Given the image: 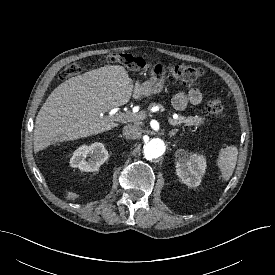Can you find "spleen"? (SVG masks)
Here are the masks:
<instances>
[{"instance_id":"1","label":"spleen","mask_w":275,"mask_h":275,"mask_svg":"<svg viewBox=\"0 0 275 275\" xmlns=\"http://www.w3.org/2000/svg\"><path fill=\"white\" fill-rule=\"evenodd\" d=\"M238 149L236 146H227L222 149L217 159V165L222 173L224 180H228L236 166Z\"/></svg>"}]
</instances>
